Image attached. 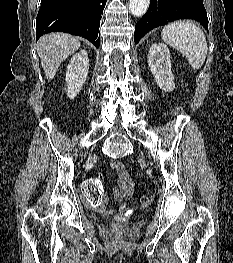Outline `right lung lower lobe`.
<instances>
[{
  "mask_svg": "<svg viewBox=\"0 0 233 263\" xmlns=\"http://www.w3.org/2000/svg\"><path fill=\"white\" fill-rule=\"evenodd\" d=\"M107 0H41L36 41L45 33L66 32L87 38L99 47L101 14Z\"/></svg>",
  "mask_w": 233,
  "mask_h": 263,
  "instance_id": "obj_1",
  "label": "right lung lower lobe"
}]
</instances>
